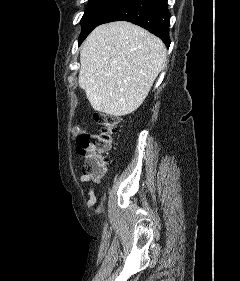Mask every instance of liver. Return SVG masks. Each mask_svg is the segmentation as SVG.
<instances>
[{
	"label": "liver",
	"mask_w": 240,
	"mask_h": 281,
	"mask_svg": "<svg viewBox=\"0 0 240 281\" xmlns=\"http://www.w3.org/2000/svg\"><path fill=\"white\" fill-rule=\"evenodd\" d=\"M79 86L94 110L113 116L134 112L166 63L164 43L126 21L96 27L80 49Z\"/></svg>",
	"instance_id": "liver-1"
}]
</instances>
